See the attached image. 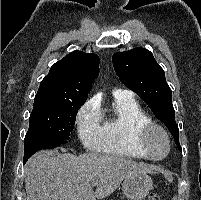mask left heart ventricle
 <instances>
[{
  "mask_svg": "<svg viewBox=\"0 0 201 200\" xmlns=\"http://www.w3.org/2000/svg\"><path fill=\"white\" fill-rule=\"evenodd\" d=\"M148 146L151 152V155L154 157H161L167 151V141L164 135L154 130L148 136Z\"/></svg>",
  "mask_w": 201,
  "mask_h": 200,
  "instance_id": "obj_1",
  "label": "left heart ventricle"
}]
</instances>
